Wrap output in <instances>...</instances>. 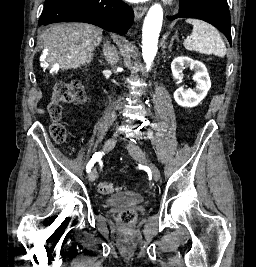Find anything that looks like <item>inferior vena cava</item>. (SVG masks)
<instances>
[{
    "instance_id": "602c4592",
    "label": "inferior vena cava",
    "mask_w": 256,
    "mask_h": 267,
    "mask_svg": "<svg viewBox=\"0 0 256 267\" xmlns=\"http://www.w3.org/2000/svg\"><path fill=\"white\" fill-rule=\"evenodd\" d=\"M104 56L108 62V64H111V66H114L116 62H118L117 54L114 52V48H104Z\"/></svg>"
}]
</instances>
